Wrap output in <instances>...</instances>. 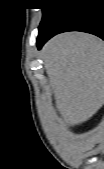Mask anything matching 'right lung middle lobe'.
Here are the masks:
<instances>
[{
    "label": "right lung middle lobe",
    "mask_w": 104,
    "mask_h": 169,
    "mask_svg": "<svg viewBox=\"0 0 104 169\" xmlns=\"http://www.w3.org/2000/svg\"><path fill=\"white\" fill-rule=\"evenodd\" d=\"M43 17L39 26V30L45 26V24L50 20V18L60 9V7L68 3L69 0H48L44 1Z\"/></svg>",
    "instance_id": "obj_1"
}]
</instances>
